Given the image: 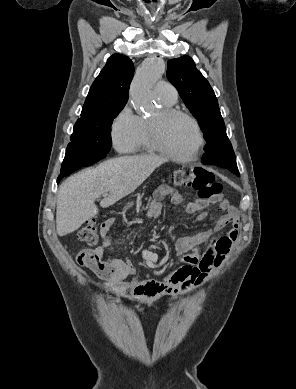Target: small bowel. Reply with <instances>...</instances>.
Returning <instances> with one entry per match:
<instances>
[{
    "mask_svg": "<svg viewBox=\"0 0 296 389\" xmlns=\"http://www.w3.org/2000/svg\"><path fill=\"white\" fill-rule=\"evenodd\" d=\"M170 197L173 204L183 202V195L167 186H160L154 198L148 205V212L157 216L161 212V200ZM209 201L195 199L186 205V212L193 214L203 211ZM222 215L214 227L192 236L179 238L175 243V250L182 265L171 271L163 281H151L136 286L133 290L134 298L142 305H148L152 300L163 296L178 298L193 287L201 285L206 278L219 267L231 248L239 239V212L225 199L218 200ZM114 220L109 219L102 225L104 242L95 249H85L78 256L80 265L92 270L103 282L109 294L116 293V285L133 274V268L128 261L120 258L107 257L106 252L112 250V237L108 233L114 226ZM231 228L223 235H217L227 226ZM207 244L205 250L200 247Z\"/></svg>",
    "mask_w": 296,
    "mask_h": 389,
    "instance_id": "c3829d8e",
    "label": "small bowel"
}]
</instances>
